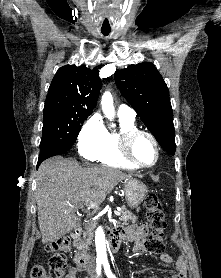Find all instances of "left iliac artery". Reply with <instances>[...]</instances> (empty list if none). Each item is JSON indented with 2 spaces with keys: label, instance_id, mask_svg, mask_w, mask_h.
I'll return each mask as SVG.
<instances>
[{
  "label": "left iliac artery",
  "instance_id": "1",
  "mask_svg": "<svg viewBox=\"0 0 221 278\" xmlns=\"http://www.w3.org/2000/svg\"><path fill=\"white\" fill-rule=\"evenodd\" d=\"M103 265H104V270H105L107 277L108 278H116L110 270L109 263L105 262Z\"/></svg>",
  "mask_w": 221,
  "mask_h": 278
}]
</instances>
